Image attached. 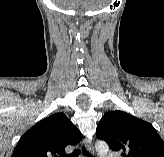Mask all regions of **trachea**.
<instances>
[{
  "label": "trachea",
  "instance_id": "trachea-1",
  "mask_svg": "<svg viewBox=\"0 0 164 157\" xmlns=\"http://www.w3.org/2000/svg\"><path fill=\"white\" fill-rule=\"evenodd\" d=\"M80 153H81L80 150H76V151H74L73 153H71L70 155H68L67 157H78ZM82 153L85 154L87 157H93V156L85 149V147H83Z\"/></svg>",
  "mask_w": 164,
  "mask_h": 157
}]
</instances>
